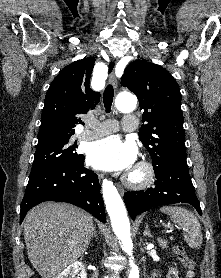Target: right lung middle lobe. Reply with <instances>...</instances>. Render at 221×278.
Masks as SVG:
<instances>
[{
    "label": "right lung middle lobe",
    "mask_w": 221,
    "mask_h": 278,
    "mask_svg": "<svg viewBox=\"0 0 221 278\" xmlns=\"http://www.w3.org/2000/svg\"><path fill=\"white\" fill-rule=\"evenodd\" d=\"M70 137L39 141L30 176L54 165L78 162L83 159V155L74 152L77 146Z\"/></svg>",
    "instance_id": "right-lung-middle-lobe-1"
}]
</instances>
